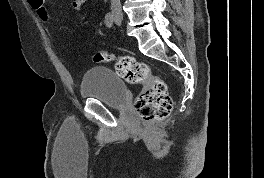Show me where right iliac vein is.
Here are the masks:
<instances>
[{
  "mask_svg": "<svg viewBox=\"0 0 264 178\" xmlns=\"http://www.w3.org/2000/svg\"><path fill=\"white\" fill-rule=\"evenodd\" d=\"M115 19H116V20H121V19H122V16L119 15V14H116V15H115Z\"/></svg>",
  "mask_w": 264,
  "mask_h": 178,
  "instance_id": "right-iliac-vein-1",
  "label": "right iliac vein"
}]
</instances>
